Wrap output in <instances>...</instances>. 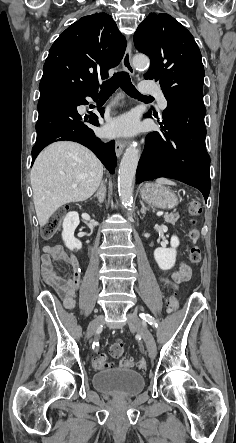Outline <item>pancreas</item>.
Returning <instances> with one entry per match:
<instances>
[{
  "mask_svg": "<svg viewBox=\"0 0 236 443\" xmlns=\"http://www.w3.org/2000/svg\"><path fill=\"white\" fill-rule=\"evenodd\" d=\"M164 219L167 223L170 224H175L177 222V220L179 219V214L176 213H171V214H167L164 216Z\"/></svg>",
  "mask_w": 236,
  "mask_h": 443,
  "instance_id": "1",
  "label": "pancreas"
}]
</instances>
